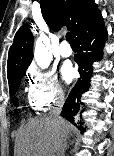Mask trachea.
Wrapping results in <instances>:
<instances>
[{
    "instance_id": "trachea-1",
    "label": "trachea",
    "mask_w": 114,
    "mask_h": 156,
    "mask_svg": "<svg viewBox=\"0 0 114 156\" xmlns=\"http://www.w3.org/2000/svg\"><path fill=\"white\" fill-rule=\"evenodd\" d=\"M66 40L69 42V44H75L74 38L70 32H67L66 34Z\"/></svg>"
}]
</instances>
